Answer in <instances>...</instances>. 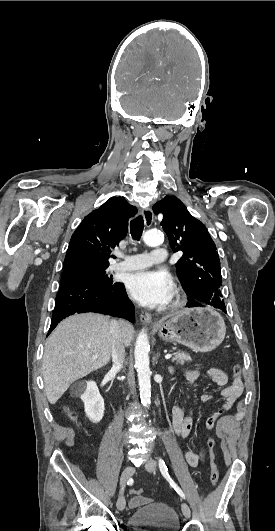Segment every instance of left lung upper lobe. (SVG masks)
I'll list each match as a JSON object with an SVG mask.
<instances>
[{
	"label": "left lung upper lobe",
	"mask_w": 275,
	"mask_h": 531,
	"mask_svg": "<svg viewBox=\"0 0 275 531\" xmlns=\"http://www.w3.org/2000/svg\"><path fill=\"white\" fill-rule=\"evenodd\" d=\"M153 212L163 214L161 225L171 248L174 252L183 253L176 268L180 283L189 296L186 306L211 305L226 312L220 291L219 255L204 224L173 196H166L157 202Z\"/></svg>",
	"instance_id": "5c2ea615"
}]
</instances>
